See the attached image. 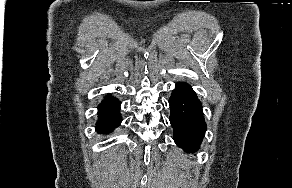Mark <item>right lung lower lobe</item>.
<instances>
[{"mask_svg": "<svg viewBox=\"0 0 292 188\" xmlns=\"http://www.w3.org/2000/svg\"><path fill=\"white\" fill-rule=\"evenodd\" d=\"M98 119L96 131L101 134H108L118 127L122 121L120 114V101L108 94L98 105Z\"/></svg>", "mask_w": 292, "mask_h": 188, "instance_id": "obj_1", "label": "right lung lower lobe"}]
</instances>
